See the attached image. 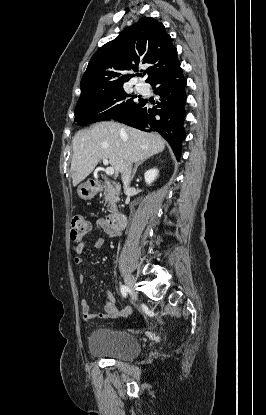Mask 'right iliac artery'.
I'll use <instances>...</instances> for the list:
<instances>
[{"label":"right iliac artery","mask_w":266,"mask_h":415,"mask_svg":"<svg viewBox=\"0 0 266 415\" xmlns=\"http://www.w3.org/2000/svg\"><path fill=\"white\" fill-rule=\"evenodd\" d=\"M120 290H121L122 296L123 297H126L127 296V293H128V287L122 285L121 288H120Z\"/></svg>","instance_id":"right-iliac-artery-1"}]
</instances>
